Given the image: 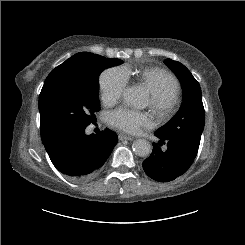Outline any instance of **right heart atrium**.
<instances>
[{
	"label": "right heart atrium",
	"mask_w": 245,
	"mask_h": 245,
	"mask_svg": "<svg viewBox=\"0 0 245 245\" xmlns=\"http://www.w3.org/2000/svg\"><path fill=\"white\" fill-rule=\"evenodd\" d=\"M127 77L121 67H111L103 71L99 78V87L102 100L107 103L115 102L123 94Z\"/></svg>",
	"instance_id": "right-heart-atrium-1"
}]
</instances>
